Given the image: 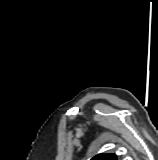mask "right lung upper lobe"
<instances>
[{
  "instance_id": "1",
  "label": "right lung upper lobe",
  "mask_w": 158,
  "mask_h": 160,
  "mask_svg": "<svg viewBox=\"0 0 158 160\" xmlns=\"http://www.w3.org/2000/svg\"><path fill=\"white\" fill-rule=\"evenodd\" d=\"M91 160H117V157L115 154H98Z\"/></svg>"
}]
</instances>
